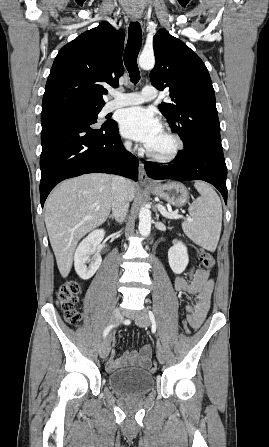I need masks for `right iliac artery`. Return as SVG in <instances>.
Listing matches in <instances>:
<instances>
[{"label": "right iliac artery", "instance_id": "obj_1", "mask_svg": "<svg viewBox=\"0 0 269 447\" xmlns=\"http://www.w3.org/2000/svg\"><path fill=\"white\" fill-rule=\"evenodd\" d=\"M113 327V325L108 326L105 331H104V337H106V335L108 334V332L110 331V329Z\"/></svg>", "mask_w": 269, "mask_h": 447}]
</instances>
